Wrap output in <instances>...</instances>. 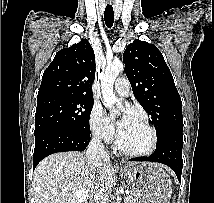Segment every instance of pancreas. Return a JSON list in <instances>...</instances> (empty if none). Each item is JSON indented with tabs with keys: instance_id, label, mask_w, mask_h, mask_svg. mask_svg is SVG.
<instances>
[{
	"instance_id": "cf45deb5",
	"label": "pancreas",
	"mask_w": 214,
	"mask_h": 203,
	"mask_svg": "<svg viewBox=\"0 0 214 203\" xmlns=\"http://www.w3.org/2000/svg\"><path fill=\"white\" fill-rule=\"evenodd\" d=\"M128 203H138L137 198L135 196H130Z\"/></svg>"
}]
</instances>
